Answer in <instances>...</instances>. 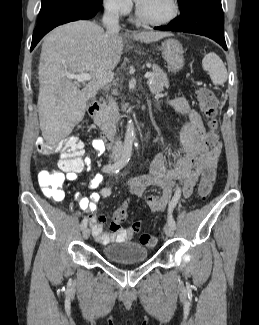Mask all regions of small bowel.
Returning <instances> with one entry per match:
<instances>
[{"label": "small bowel", "instance_id": "1", "mask_svg": "<svg viewBox=\"0 0 259 325\" xmlns=\"http://www.w3.org/2000/svg\"><path fill=\"white\" fill-rule=\"evenodd\" d=\"M170 105L182 117L180 140L184 154L168 163L162 153H158L150 164V175H144L130 180L127 184L128 192L138 198L145 200L153 212H161L167 208L173 198V194L179 189L180 195L188 198L192 195L194 187L202 173L206 169L215 168L221 152V144L217 142L212 145L206 137V129L200 114L191 109L183 98H177L170 102ZM92 147L98 154L105 152V145L100 138L92 140ZM92 163L90 157L80 158L73 168L65 169L67 179L74 181L79 173ZM62 161H59V165ZM103 176L97 173L90 181L89 188L95 189L102 182ZM180 181L182 186L176 187ZM149 187H158L160 195H148ZM112 190L103 187L99 192L92 193L89 197L75 194V200L80 208L89 215L90 226L93 236L98 243L107 245L114 241L124 242L133 238L134 231L131 228L122 227L112 222L110 231H104L105 217L96 213L97 203L100 198H109Z\"/></svg>", "mask_w": 259, "mask_h": 325}]
</instances>
